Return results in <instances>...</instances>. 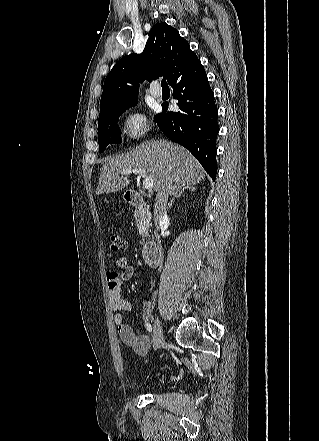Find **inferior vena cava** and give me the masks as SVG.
<instances>
[{"label":"inferior vena cava","instance_id":"602c4592","mask_svg":"<svg viewBox=\"0 0 319 441\" xmlns=\"http://www.w3.org/2000/svg\"><path fill=\"white\" fill-rule=\"evenodd\" d=\"M167 199L168 197L161 199L158 198L156 200L155 206H154V222L157 226V224L161 225L162 223H165L168 221V216H167V208H166V204H167ZM158 230V228H157Z\"/></svg>","mask_w":319,"mask_h":441}]
</instances>
